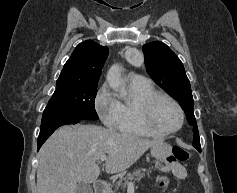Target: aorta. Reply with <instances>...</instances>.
Segmentation results:
<instances>
[{
    "label": "aorta",
    "instance_id": "762f6f07",
    "mask_svg": "<svg viewBox=\"0 0 237 193\" xmlns=\"http://www.w3.org/2000/svg\"><path fill=\"white\" fill-rule=\"evenodd\" d=\"M121 66L114 64L107 73V81L111 88L118 90L123 85Z\"/></svg>",
    "mask_w": 237,
    "mask_h": 193
}]
</instances>
